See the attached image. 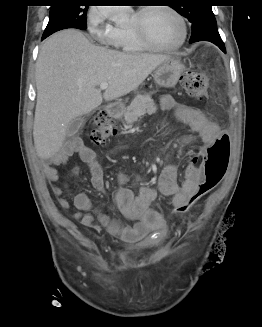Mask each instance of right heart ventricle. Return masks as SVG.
I'll list each match as a JSON object with an SVG mask.
<instances>
[{
    "label": "right heart ventricle",
    "instance_id": "1",
    "mask_svg": "<svg viewBox=\"0 0 262 327\" xmlns=\"http://www.w3.org/2000/svg\"><path fill=\"white\" fill-rule=\"evenodd\" d=\"M118 29V41L117 46L125 52H143L148 48L145 47L135 36V34L130 30L129 27H117Z\"/></svg>",
    "mask_w": 262,
    "mask_h": 327
}]
</instances>
